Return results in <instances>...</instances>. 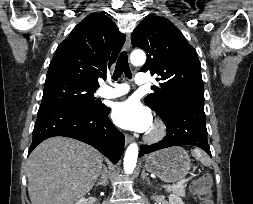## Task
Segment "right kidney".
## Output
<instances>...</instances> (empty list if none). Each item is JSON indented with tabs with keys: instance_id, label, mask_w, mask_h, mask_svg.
Listing matches in <instances>:
<instances>
[{
	"instance_id": "right-kidney-1",
	"label": "right kidney",
	"mask_w": 253,
	"mask_h": 204,
	"mask_svg": "<svg viewBox=\"0 0 253 204\" xmlns=\"http://www.w3.org/2000/svg\"><path fill=\"white\" fill-rule=\"evenodd\" d=\"M75 204H87V200L85 198H81Z\"/></svg>"
}]
</instances>
